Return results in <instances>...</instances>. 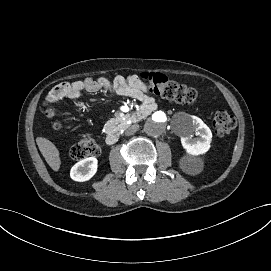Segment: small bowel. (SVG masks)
I'll return each instance as SVG.
<instances>
[{"instance_id":"c3829d8e","label":"small bowel","mask_w":271,"mask_h":271,"mask_svg":"<svg viewBox=\"0 0 271 271\" xmlns=\"http://www.w3.org/2000/svg\"><path fill=\"white\" fill-rule=\"evenodd\" d=\"M102 90L109 94L136 99L142 102L143 108L147 111L153 110L156 106L155 100L150 95L146 84L134 74L127 76L118 75L113 81L106 77H100L61 83L51 90L47 98L51 102H56L63 98L78 101L84 92L97 93Z\"/></svg>"}]
</instances>
